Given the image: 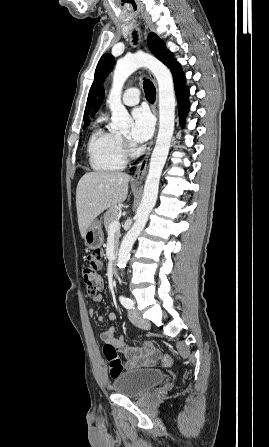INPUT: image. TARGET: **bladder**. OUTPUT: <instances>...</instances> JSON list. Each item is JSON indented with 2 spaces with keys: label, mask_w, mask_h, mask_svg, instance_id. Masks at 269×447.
I'll use <instances>...</instances> for the list:
<instances>
[{
  "label": "bladder",
  "mask_w": 269,
  "mask_h": 447,
  "mask_svg": "<svg viewBox=\"0 0 269 447\" xmlns=\"http://www.w3.org/2000/svg\"><path fill=\"white\" fill-rule=\"evenodd\" d=\"M167 377L164 370L157 368L118 372L112 383L114 394L126 397L142 396L146 390L163 382Z\"/></svg>",
  "instance_id": "bladder-1"
}]
</instances>
